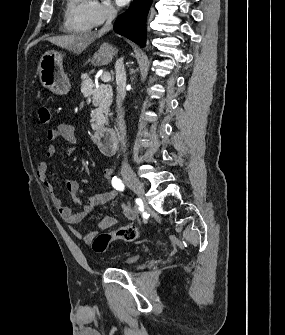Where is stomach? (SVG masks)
Returning a JSON list of instances; mask_svg holds the SVG:
<instances>
[{
  "mask_svg": "<svg viewBox=\"0 0 285 335\" xmlns=\"http://www.w3.org/2000/svg\"><path fill=\"white\" fill-rule=\"evenodd\" d=\"M63 56L60 52L50 50L43 54L38 64L39 80L53 94H67L70 90L69 80L63 72Z\"/></svg>",
  "mask_w": 285,
  "mask_h": 335,
  "instance_id": "obj_1",
  "label": "stomach"
}]
</instances>
